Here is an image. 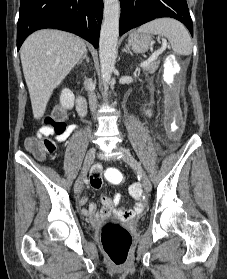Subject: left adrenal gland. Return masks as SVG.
Wrapping results in <instances>:
<instances>
[{
    "label": "left adrenal gland",
    "instance_id": "a2214340",
    "mask_svg": "<svg viewBox=\"0 0 227 279\" xmlns=\"http://www.w3.org/2000/svg\"><path fill=\"white\" fill-rule=\"evenodd\" d=\"M123 52L130 53L132 55V52L130 51V48L128 45L125 46V48L123 49Z\"/></svg>",
    "mask_w": 227,
    "mask_h": 279
}]
</instances>
